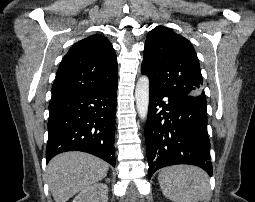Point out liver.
Returning a JSON list of instances; mask_svg holds the SVG:
<instances>
[{
  "instance_id": "obj_1",
  "label": "liver",
  "mask_w": 255,
  "mask_h": 202,
  "mask_svg": "<svg viewBox=\"0 0 255 202\" xmlns=\"http://www.w3.org/2000/svg\"><path fill=\"white\" fill-rule=\"evenodd\" d=\"M109 165L87 153L65 152L47 166V178L55 202H67L84 188L102 180Z\"/></svg>"
}]
</instances>
